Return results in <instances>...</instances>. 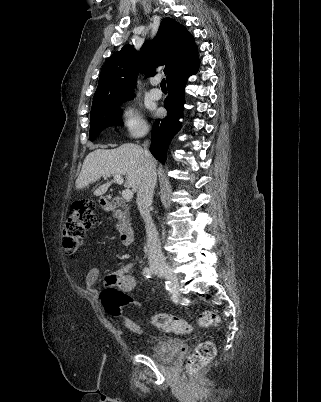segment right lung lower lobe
Wrapping results in <instances>:
<instances>
[{"label": "right lung lower lobe", "mask_w": 321, "mask_h": 402, "mask_svg": "<svg viewBox=\"0 0 321 402\" xmlns=\"http://www.w3.org/2000/svg\"><path fill=\"white\" fill-rule=\"evenodd\" d=\"M197 67L182 73L173 79L168 84V96L164 101V106L167 110V117L163 120L157 119L152 129V144L150 152L153 156L165 163L167 149L172 137L179 131L181 124L179 118L182 115L184 100V87L190 75L195 74Z\"/></svg>", "instance_id": "98d812e1"}]
</instances>
